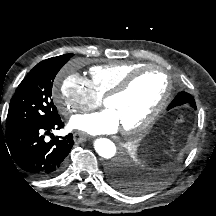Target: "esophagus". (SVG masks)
I'll return each instance as SVG.
<instances>
[{
  "mask_svg": "<svg viewBox=\"0 0 216 216\" xmlns=\"http://www.w3.org/2000/svg\"><path fill=\"white\" fill-rule=\"evenodd\" d=\"M73 136H74V141L78 143L85 141L87 138V135L80 131L75 132Z\"/></svg>",
  "mask_w": 216,
  "mask_h": 216,
  "instance_id": "esophagus-1",
  "label": "esophagus"
}]
</instances>
